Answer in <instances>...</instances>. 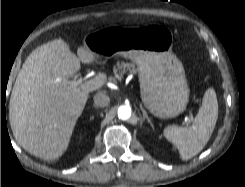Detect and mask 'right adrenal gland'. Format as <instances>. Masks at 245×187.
Wrapping results in <instances>:
<instances>
[{
  "label": "right adrenal gland",
  "instance_id": "1",
  "mask_svg": "<svg viewBox=\"0 0 245 187\" xmlns=\"http://www.w3.org/2000/svg\"><path fill=\"white\" fill-rule=\"evenodd\" d=\"M93 107L96 108V109L98 108L95 104H93Z\"/></svg>",
  "mask_w": 245,
  "mask_h": 187
}]
</instances>
